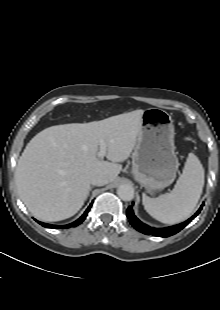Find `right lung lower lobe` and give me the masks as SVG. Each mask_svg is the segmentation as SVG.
Masks as SVG:
<instances>
[{
	"instance_id": "98d812e1",
	"label": "right lung lower lobe",
	"mask_w": 220,
	"mask_h": 310,
	"mask_svg": "<svg viewBox=\"0 0 220 310\" xmlns=\"http://www.w3.org/2000/svg\"><path fill=\"white\" fill-rule=\"evenodd\" d=\"M91 206H92V204L89 205V207L86 209L84 214L78 220H76L75 222H73L71 224H68V225L57 226V225H50V224H46V223H42V222H38V223L40 225H42L43 227H46V228H61V229H64V228L76 227V226H78L79 224H81L85 220V218H86V216H87Z\"/></svg>"
}]
</instances>
